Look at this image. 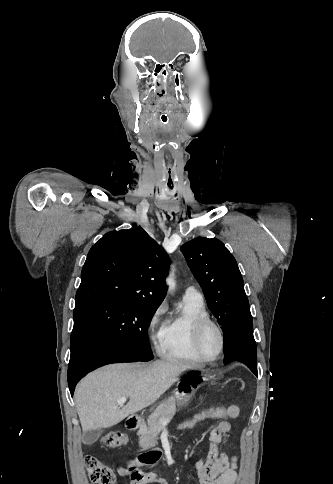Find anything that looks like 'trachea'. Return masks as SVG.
<instances>
[{"label":"trachea","mask_w":333,"mask_h":484,"mask_svg":"<svg viewBox=\"0 0 333 484\" xmlns=\"http://www.w3.org/2000/svg\"><path fill=\"white\" fill-rule=\"evenodd\" d=\"M162 121L163 122H166L167 121V117H165L164 115L162 116Z\"/></svg>","instance_id":"obj_1"}]
</instances>
